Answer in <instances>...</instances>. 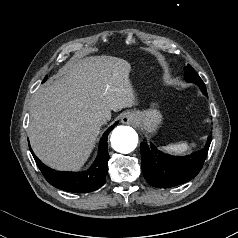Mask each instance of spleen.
Segmentation results:
<instances>
[{
	"label": "spleen",
	"mask_w": 238,
	"mask_h": 238,
	"mask_svg": "<svg viewBox=\"0 0 238 238\" xmlns=\"http://www.w3.org/2000/svg\"><path fill=\"white\" fill-rule=\"evenodd\" d=\"M162 150L173 153V154H185L189 151L190 147L186 142H181L177 144H169L167 146L161 147Z\"/></svg>",
	"instance_id": "obj_1"
}]
</instances>
